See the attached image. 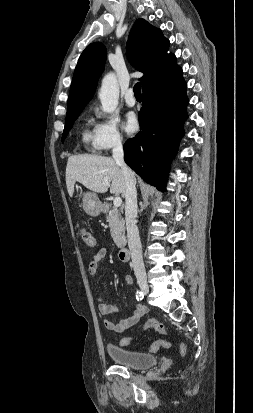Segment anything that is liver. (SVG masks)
I'll return each instance as SVG.
<instances>
[{"label": "liver", "instance_id": "liver-1", "mask_svg": "<svg viewBox=\"0 0 253 413\" xmlns=\"http://www.w3.org/2000/svg\"><path fill=\"white\" fill-rule=\"evenodd\" d=\"M133 178L135 180L134 173ZM75 182L97 193H105L110 188V193L123 197L126 188L121 167L113 158L105 156H70L66 166V185L70 197L73 196Z\"/></svg>", "mask_w": 253, "mask_h": 413}]
</instances>
